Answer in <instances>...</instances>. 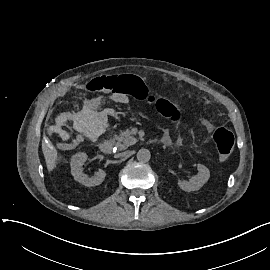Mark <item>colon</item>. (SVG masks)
<instances>
[{
	"label": "colon",
	"mask_w": 270,
	"mask_h": 270,
	"mask_svg": "<svg viewBox=\"0 0 270 270\" xmlns=\"http://www.w3.org/2000/svg\"><path fill=\"white\" fill-rule=\"evenodd\" d=\"M88 91L94 93H121L136 100H143L156 106L157 110L165 117L174 121L183 118L184 110L178 104L158 96L155 89L149 88L134 74L94 76L87 86ZM216 150L221 157L231 154L235 144V137L226 127L216 128L212 134Z\"/></svg>",
	"instance_id": "5ec220e1"
}]
</instances>
